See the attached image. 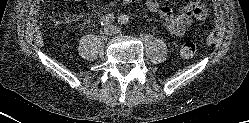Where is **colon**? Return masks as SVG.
Wrapping results in <instances>:
<instances>
[{
  "label": "colon",
  "mask_w": 249,
  "mask_h": 123,
  "mask_svg": "<svg viewBox=\"0 0 249 123\" xmlns=\"http://www.w3.org/2000/svg\"><path fill=\"white\" fill-rule=\"evenodd\" d=\"M196 50L197 45L195 40L190 36L185 37L180 48L181 56L184 58H192L195 55Z\"/></svg>",
  "instance_id": "obj_1"
}]
</instances>
